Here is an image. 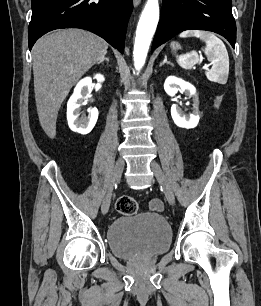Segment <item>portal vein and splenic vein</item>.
Here are the masks:
<instances>
[{
  "label": "portal vein and splenic vein",
  "mask_w": 261,
  "mask_h": 306,
  "mask_svg": "<svg viewBox=\"0 0 261 306\" xmlns=\"http://www.w3.org/2000/svg\"><path fill=\"white\" fill-rule=\"evenodd\" d=\"M210 66V64H204V66L202 67V69H208Z\"/></svg>",
  "instance_id": "obj_1"
}]
</instances>
